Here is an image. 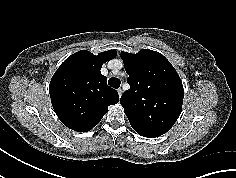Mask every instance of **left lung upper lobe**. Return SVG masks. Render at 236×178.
Returning a JSON list of instances; mask_svg holds the SVG:
<instances>
[{
    "mask_svg": "<svg viewBox=\"0 0 236 178\" xmlns=\"http://www.w3.org/2000/svg\"><path fill=\"white\" fill-rule=\"evenodd\" d=\"M121 58L130 90L124 92L120 104L132 128L149 138L166 133L182 110L184 90L179 75L156 51L122 52Z\"/></svg>",
    "mask_w": 236,
    "mask_h": 178,
    "instance_id": "left-lung-upper-lobe-1",
    "label": "left lung upper lobe"
}]
</instances>
